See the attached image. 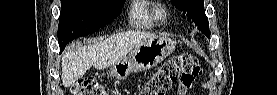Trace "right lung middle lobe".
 <instances>
[{
  "label": "right lung middle lobe",
  "instance_id": "right-lung-middle-lobe-1",
  "mask_svg": "<svg viewBox=\"0 0 277 95\" xmlns=\"http://www.w3.org/2000/svg\"><path fill=\"white\" fill-rule=\"evenodd\" d=\"M125 0H61L58 43L61 51L67 43L112 22Z\"/></svg>",
  "mask_w": 277,
  "mask_h": 95
}]
</instances>
